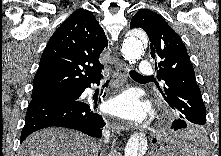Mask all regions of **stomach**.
<instances>
[{"mask_svg":"<svg viewBox=\"0 0 221 156\" xmlns=\"http://www.w3.org/2000/svg\"><path fill=\"white\" fill-rule=\"evenodd\" d=\"M151 156H184V153L170 140L156 146L151 151Z\"/></svg>","mask_w":221,"mask_h":156,"instance_id":"stomach-1","label":"stomach"}]
</instances>
